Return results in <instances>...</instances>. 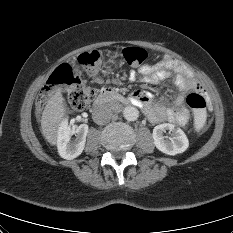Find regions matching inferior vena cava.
Listing matches in <instances>:
<instances>
[{
  "label": "inferior vena cava",
  "mask_w": 233,
  "mask_h": 233,
  "mask_svg": "<svg viewBox=\"0 0 233 233\" xmlns=\"http://www.w3.org/2000/svg\"><path fill=\"white\" fill-rule=\"evenodd\" d=\"M113 117V111L107 104H101L94 108L92 113L93 121L96 124L104 125Z\"/></svg>",
  "instance_id": "602c4592"
}]
</instances>
